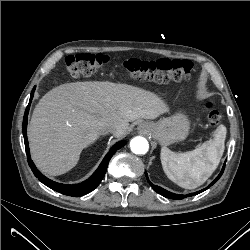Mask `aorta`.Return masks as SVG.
<instances>
[{
  "instance_id": "1",
  "label": "aorta",
  "mask_w": 250,
  "mask_h": 250,
  "mask_svg": "<svg viewBox=\"0 0 250 250\" xmlns=\"http://www.w3.org/2000/svg\"><path fill=\"white\" fill-rule=\"evenodd\" d=\"M130 148L135 154H146L149 149V144L144 137L137 136L131 140Z\"/></svg>"
}]
</instances>
